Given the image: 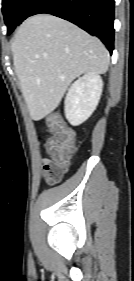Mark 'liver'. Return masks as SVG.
<instances>
[{
  "label": "liver",
  "instance_id": "obj_1",
  "mask_svg": "<svg viewBox=\"0 0 134 281\" xmlns=\"http://www.w3.org/2000/svg\"><path fill=\"white\" fill-rule=\"evenodd\" d=\"M13 63L30 117L53 112L70 83L83 73L104 74L109 53L76 25L49 14L26 19L12 43Z\"/></svg>",
  "mask_w": 134,
  "mask_h": 281
}]
</instances>
